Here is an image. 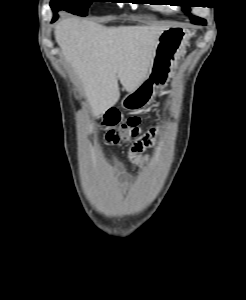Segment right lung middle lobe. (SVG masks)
<instances>
[{"mask_svg": "<svg viewBox=\"0 0 246 300\" xmlns=\"http://www.w3.org/2000/svg\"><path fill=\"white\" fill-rule=\"evenodd\" d=\"M93 1L106 0H51L50 6L54 11V17L58 11H67L75 15L86 16L87 9Z\"/></svg>", "mask_w": 246, "mask_h": 300, "instance_id": "1", "label": "right lung middle lobe"}]
</instances>
